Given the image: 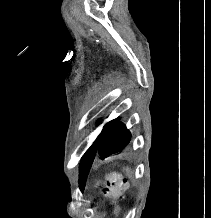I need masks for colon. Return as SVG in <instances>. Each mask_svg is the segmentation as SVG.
<instances>
[{
  "instance_id": "5ec220e1",
  "label": "colon",
  "mask_w": 211,
  "mask_h": 218,
  "mask_svg": "<svg viewBox=\"0 0 211 218\" xmlns=\"http://www.w3.org/2000/svg\"><path fill=\"white\" fill-rule=\"evenodd\" d=\"M105 194L114 203L117 202L127 189L126 180L117 171L108 172L104 177ZM115 212H118V207L115 208Z\"/></svg>"
}]
</instances>
